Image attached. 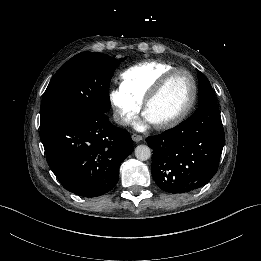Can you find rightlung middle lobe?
<instances>
[{
	"label": "right lung middle lobe",
	"instance_id": "obj_1",
	"mask_svg": "<svg viewBox=\"0 0 261 261\" xmlns=\"http://www.w3.org/2000/svg\"><path fill=\"white\" fill-rule=\"evenodd\" d=\"M120 61L92 52L79 53L67 61L43 95L40 124L59 116L107 113L111 107L109 84Z\"/></svg>",
	"mask_w": 261,
	"mask_h": 261
}]
</instances>
